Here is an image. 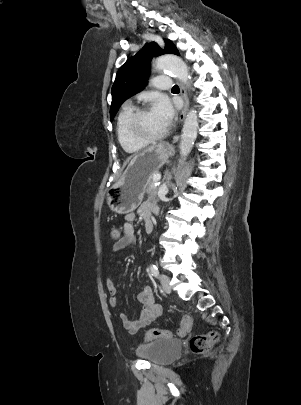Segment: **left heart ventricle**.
I'll return each instance as SVG.
<instances>
[{
	"label": "left heart ventricle",
	"instance_id": "left-heart-ventricle-1",
	"mask_svg": "<svg viewBox=\"0 0 301 405\" xmlns=\"http://www.w3.org/2000/svg\"><path fill=\"white\" fill-rule=\"evenodd\" d=\"M168 125L156 113L147 111L140 119L139 130L147 136L161 133Z\"/></svg>",
	"mask_w": 301,
	"mask_h": 405
}]
</instances>
